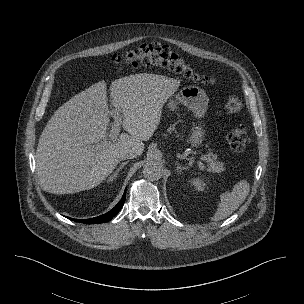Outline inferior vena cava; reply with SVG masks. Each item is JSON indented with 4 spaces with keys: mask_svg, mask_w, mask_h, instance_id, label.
Listing matches in <instances>:
<instances>
[{
    "mask_svg": "<svg viewBox=\"0 0 304 304\" xmlns=\"http://www.w3.org/2000/svg\"><path fill=\"white\" fill-rule=\"evenodd\" d=\"M138 152L135 150H129L121 154L122 159H133L138 156Z\"/></svg>",
    "mask_w": 304,
    "mask_h": 304,
    "instance_id": "1",
    "label": "inferior vena cava"
}]
</instances>
